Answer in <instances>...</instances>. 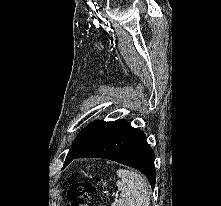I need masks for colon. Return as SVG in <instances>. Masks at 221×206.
<instances>
[{"instance_id":"1","label":"colon","mask_w":221,"mask_h":206,"mask_svg":"<svg viewBox=\"0 0 221 206\" xmlns=\"http://www.w3.org/2000/svg\"><path fill=\"white\" fill-rule=\"evenodd\" d=\"M72 206H101L102 197L96 187L89 181H79L73 177L68 190Z\"/></svg>"}]
</instances>
